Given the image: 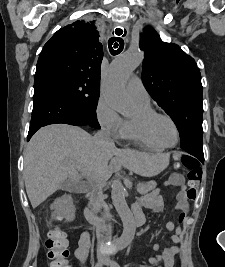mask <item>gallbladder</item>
<instances>
[{
	"mask_svg": "<svg viewBox=\"0 0 225 267\" xmlns=\"http://www.w3.org/2000/svg\"><path fill=\"white\" fill-rule=\"evenodd\" d=\"M60 189L65 191H76L78 190V185L71 179H67L60 185Z\"/></svg>",
	"mask_w": 225,
	"mask_h": 267,
	"instance_id": "bac80fb5",
	"label": "gallbladder"
}]
</instances>
